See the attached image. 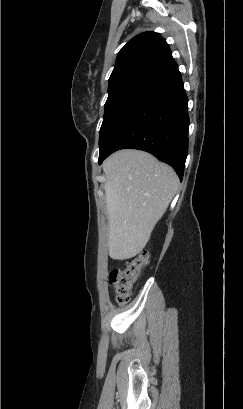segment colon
Masks as SVG:
<instances>
[{"mask_svg":"<svg viewBox=\"0 0 243 409\" xmlns=\"http://www.w3.org/2000/svg\"><path fill=\"white\" fill-rule=\"evenodd\" d=\"M148 264V252L128 260L121 268L112 270L110 283L114 289L115 299L119 304H126L131 296L133 286L137 282L141 270Z\"/></svg>","mask_w":243,"mask_h":409,"instance_id":"5ec220e1","label":"colon"}]
</instances>
